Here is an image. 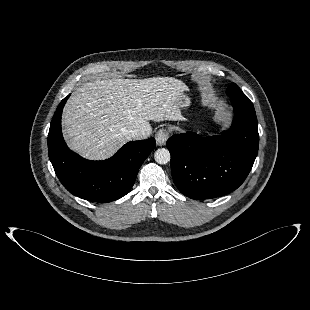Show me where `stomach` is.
<instances>
[{
	"label": "stomach",
	"mask_w": 310,
	"mask_h": 310,
	"mask_svg": "<svg viewBox=\"0 0 310 310\" xmlns=\"http://www.w3.org/2000/svg\"><path fill=\"white\" fill-rule=\"evenodd\" d=\"M191 99L189 96H187L186 94H181L180 98H179V103L181 108H185L188 107L190 105Z\"/></svg>",
	"instance_id": "obj_1"
}]
</instances>
